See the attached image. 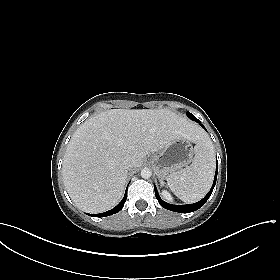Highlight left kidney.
Listing matches in <instances>:
<instances>
[{
  "instance_id": "5707ae66",
  "label": "left kidney",
  "mask_w": 280,
  "mask_h": 280,
  "mask_svg": "<svg viewBox=\"0 0 280 280\" xmlns=\"http://www.w3.org/2000/svg\"><path fill=\"white\" fill-rule=\"evenodd\" d=\"M162 195L166 200L172 201V196L170 195V193L167 190H163Z\"/></svg>"
}]
</instances>
